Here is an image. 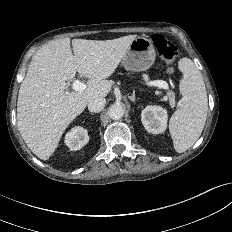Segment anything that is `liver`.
Returning <instances> with one entry per match:
<instances>
[{
  "label": "liver",
  "mask_w": 232,
  "mask_h": 232,
  "mask_svg": "<svg viewBox=\"0 0 232 232\" xmlns=\"http://www.w3.org/2000/svg\"><path fill=\"white\" fill-rule=\"evenodd\" d=\"M137 35L112 40H53L33 56L20 86L17 125L28 148L48 160L62 134L90 100L105 97L113 81L107 80ZM88 78L84 91H68L66 81L76 73Z\"/></svg>",
  "instance_id": "6515ba94"
}]
</instances>
